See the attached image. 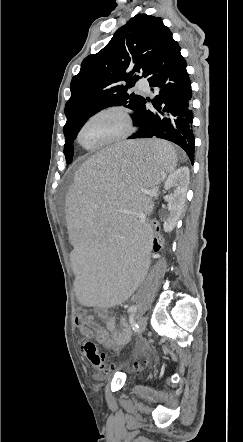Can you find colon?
Wrapping results in <instances>:
<instances>
[{
  "label": "colon",
  "mask_w": 243,
  "mask_h": 442,
  "mask_svg": "<svg viewBox=\"0 0 243 442\" xmlns=\"http://www.w3.org/2000/svg\"><path fill=\"white\" fill-rule=\"evenodd\" d=\"M150 225H157L155 228L150 229L148 231V234L150 236H153L151 238L150 246L153 248V252L156 254H160L163 251V242L165 241L163 231V226L159 225L160 218L159 216H150L149 218ZM81 352L82 354L88 359V361L91 363V365L100 370V371H111L116 368L114 364L108 363L106 361V356L103 352H101L97 345L93 341H84L81 344ZM145 364L150 365L153 362L152 357L147 356L144 359ZM135 366H138L137 363H135Z\"/></svg>",
  "instance_id": "1"
}]
</instances>
